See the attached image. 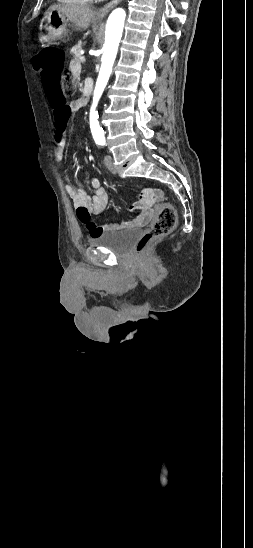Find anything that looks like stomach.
Segmentation results:
<instances>
[{"instance_id": "stomach-1", "label": "stomach", "mask_w": 253, "mask_h": 548, "mask_svg": "<svg viewBox=\"0 0 253 548\" xmlns=\"http://www.w3.org/2000/svg\"><path fill=\"white\" fill-rule=\"evenodd\" d=\"M67 20L60 13L47 10L39 25L38 39L43 45H50L56 41H65L68 36Z\"/></svg>"}]
</instances>
